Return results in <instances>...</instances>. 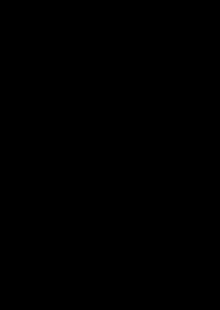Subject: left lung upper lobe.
<instances>
[{
	"label": "left lung upper lobe",
	"instance_id": "obj_1",
	"mask_svg": "<svg viewBox=\"0 0 220 310\" xmlns=\"http://www.w3.org/2000/svg\"><path fill=\"white\" fill-rule=\"evenodd\" d=\"M192 151L189 164L176 182L179 186H194L199 190L205 185V163L204 151L195 138L192 137Z\"/></svg>",
	"mask_w": 220,
	"mask_h": 310
}]
</instances>
